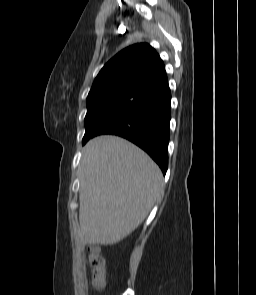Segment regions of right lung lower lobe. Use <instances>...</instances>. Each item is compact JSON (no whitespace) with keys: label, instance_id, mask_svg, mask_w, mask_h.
I'll use <instances>...</instances> for the list:
<instances>
[{"label":"right lung lower lobe","instance_id":"98d812e1","mask_svg":"<svg viewBox=\"0 0 256 295\" xmlns=\"http://www.w3.org/2000/svg\"><path fill=\"white\" fill-rule=\"evenodd\" d=\"M171 92L166 74L137 95L90 138L100 134L124 137L146 151L159 165L163 174L168 168Z\"/></svg>","mask_w":256,"mask_h":295}]
</instances>
